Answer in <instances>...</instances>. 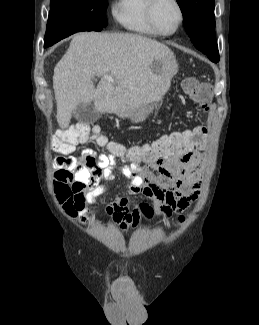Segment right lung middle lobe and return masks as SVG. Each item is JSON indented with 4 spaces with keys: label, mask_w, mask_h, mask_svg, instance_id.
<instances>
[{
    "label": "right lung middle lobe",
    "mask_w": 259,
    "mask_h": 325,
    "mask_svg": "<svg viewBox=\"0 0 259 325\" xmlns=\"http://www.w3.org/2000/svg\"><path fill=\"white\" fill-rule=\"evenodd\" d=\"M107 0H51L44 47L79 31H101L108 25Z\"/></svg>",
    "instance_id": "right-lung-middle-lobe-1"
}]
</instances>
